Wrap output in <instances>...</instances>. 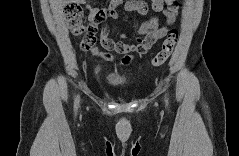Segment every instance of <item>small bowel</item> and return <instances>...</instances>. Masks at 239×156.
<instances>
[{
  "label": "small bowel",
  "mask_w": 239,
  "mask_h": 156,
  "mask_svg": "<svg viewBox=\"0 0 239 156\" xmlns=\"http://www.w3.org/2000/svg\"><path fill=\"white\" fill-rule=\"evenodd\" d=\"M121 6H123V8L128 12H138L140 14H145L149 9H151L155 13L153 17L144 21L138 28L135 29L134 33L136 36L137 44H132L127 41L116 42L108 36L107 29H103L101 31V46L107 51H115L118 53L127 54L122 59V63L127 64L133 60V56L128 55L129 53H145L153 44L167 35V26L172 25L178 16L179 4L176 0H130L127 2H123V0H111L109 2V5L105 9L90 7L88 15L89 22L95 23L98 29L100 22L96 21L97 13L103 10L107 13V17L115 18L117 9ZM158 15L162 16L165 25L159 24ZM120 37L125 40L127 38V35L121 33ZM88 40H90L89 35H87L84 39L82 46H84ZM95 43L96 34L94 36V42H92L91 44V49L95 46Z\"/></svg>",
  "instance_id": "obj_1"
}]
</instances>
